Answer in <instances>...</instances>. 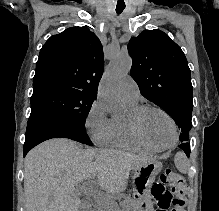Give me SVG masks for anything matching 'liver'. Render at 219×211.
I'll return each instance as SVG.
<instances>
[{"label":"liver","instance_id":"1","mask_svg":"<svg viewBox=\"0 0 219 211\" xmlns=\"http://www.w3.org/2000/svg\"><path fill=\"white\" fill-rule=\"evenodd\" d=\"M149 159L153 157L116 149H83L67 137L47 139L33 147L24 159L25 209L79 211L82 203L75 191L77 183L89 179L106 193H121L131 169ZM85 189L88 187H82V191ZM90 193L100 197L98 189H91Z\"/></svg>","mask_w":219,"mask_h":211}]
</instances>
